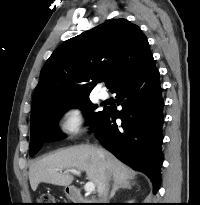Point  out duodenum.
Listing matches in <instances>:
<instances>
[{"mask_svg": "<svg viewBox=\"0 0 200 205\" xmlns=\"http://www.w3.org/2000/svg\"><path fill=\"white\" fill-rule=\"evenodd\" d=\"M68 197L74 202H84L85 198L83 197L82 193L75 187H69L67 189Z\"/></svg>", "mask_w": 200, "mask_h": 205, "instance_id": "duodenum-1", "label": "duodenum"}]
</instances>
